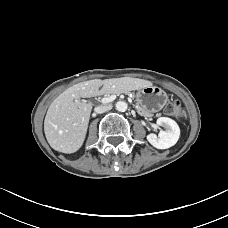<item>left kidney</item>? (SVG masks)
Here are the masks:
<instances>
[{"mask_svg": "<svg viewBox=\"0 0 228 228\" xmlns=\"http://www.w3.org/2000/svg\"><path fill=\"white\" fill-rule=\"evenodd\" d=\"M156 123L158 126H162L166 130H161L158 136L154 133L148 134V142L157 149H167L174 146L180 136L178 124L168 117H160L157 119Z\"/></svg>", "mask_w": 228, "mask_h": 228, "instance_id": "left-kidney-1", "label": "left kidney"}]
</instances>
